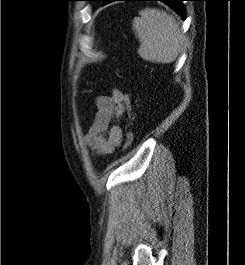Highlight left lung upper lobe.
<instances>
[{
    "label": "left lung upper lobe",
    "instance_id": "5c2ea615",
    "mask_svg": "<svg viewBox=\"0 0 245 265\" xmlns=\"http://www.w3.org/2000/svg\"><path fill=\"white\" fill-rule=\"evenodd\" d=\"M89 1H105V0H89Z\"/></svg>",
    "mask_w": 245,
    "mask_h": 265
}]
</instances>
